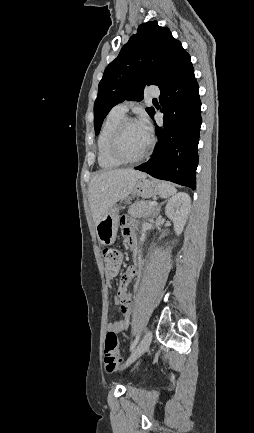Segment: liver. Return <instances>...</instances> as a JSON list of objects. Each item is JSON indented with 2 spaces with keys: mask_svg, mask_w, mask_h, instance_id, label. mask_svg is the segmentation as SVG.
I'll return each instance as SVG.
<instances>
[{
  "mask_svg": "<svg viewBox=\"0 0 254 433\" xmlns=\"http://www.w3.org/2000/svg\"><path fill=\"white\" fill-rule=\"evenodd\" d=\"M146 174L133 169L99 171L92 177L88 192L95 226L119 200L132 193L136 180Z\"/></svg>",
  "mask_w": 254,
  "mask_h": 433,
  "instance_id": "1",
  "label": "liver"
}]
</instances>
